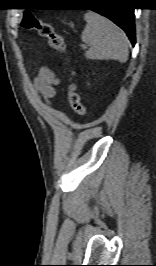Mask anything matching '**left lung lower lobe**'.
Here are the masks:
<instances>
[{"label": "left lung lower lobe", "instance_id": "left-lung-lower-lobe-1", "mask_svg": "<svg viewBox=\"0 0 156 266\" xmlns=\"http://www.w3.org/2000/svg\"><path fill=\"white\" fill-rule=\"evenodd\" d=\"M113 0H90L89 4L93 7L90 9L109 18L116 25L122 28L129 37L132 45L135 44V16L134 9L125 6L120 0L119 4L112 5Z\"/></svg>", "mask_w": 156, "mask_h": 266}]
</instances>
